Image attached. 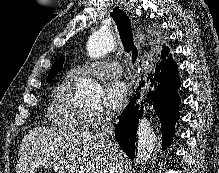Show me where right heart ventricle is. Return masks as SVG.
<instances>
[{
  "instance_id": "obj_1",
  "label": "right heart ventricle",
  "mask_w": 219,
  "mask_h": 173,
  "mask_svg": "<svg viewBox=\"0 0 219 173\" xmlns=\"http://www.w3.org/2000/svg\"><path fill=\"white\" fill-rule=\"evenodd\" d=\"M74 84V81L66 78L52 91L46 117L56 129L80 131L88 127V114L73 102Z\"/></svg>"
}]
</instances>
